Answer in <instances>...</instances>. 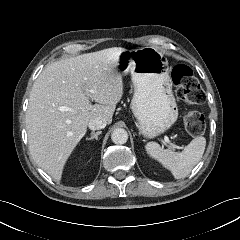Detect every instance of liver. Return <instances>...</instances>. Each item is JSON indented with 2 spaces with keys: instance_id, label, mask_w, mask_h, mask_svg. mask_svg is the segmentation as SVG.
<instances>
[{
  "instance_id": "liver-1",
  "label": "liver",
  "mask_w": 240,
  "mask_h": 240,
  "mask_svg": "<svg viewBox=\"0 0 240 240\" xmlns=\"http://www.w3.org/2000/svg\"><path fill=\"white\" fill-rule=\"evenodd\" d=\"M124 50L112 47L53 62L34 82L26 111L29 150L54 180H61L64 165L91 119L100 116L111 124L123 95L117 61Z\"/></svg>"
}]
</instances>
